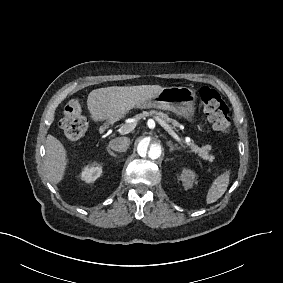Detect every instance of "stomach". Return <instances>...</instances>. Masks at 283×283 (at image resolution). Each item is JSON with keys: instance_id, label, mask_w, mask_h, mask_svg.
<instances>
[{"instance_id": "obj_1", "label": "stomach", "mask_w": 283, "mask_h": 283, "mask_svg": "<svg viewBox=\"0 0 283 283\" xmlns=\"http://www.w3.org/2000/svg\"><path fill=\"white\" fill-rule=\"evenodd\" d=\"M197 92L187 86H172L163 90L153 99L143 103L141 108H156L172 111L189 123L196 121Z\"/></svg>"}]
</instances>
